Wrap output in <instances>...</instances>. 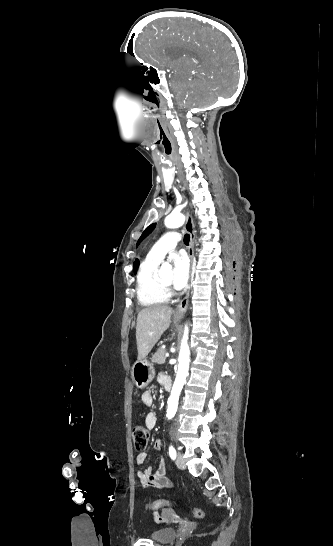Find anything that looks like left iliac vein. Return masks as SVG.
Returning <instances> with one entry per match:
<instances>
[{
	"mask_svg": "<svg viewBox=\"0 0 333 546\" xmlns=\"http://www.w3.org/2000/svg\"><path fill=\"white\" fill-rule=\"evenodd\" d=\"M176 465L181 470H184L186 468L184 458L180 452H178L176 457Z\"/></svg>",
	"mask_w": 333,
	"mask_h": 546,
	"instance_id": "left-iliac-vein-1",
	"label": "left iliac vein"
}]
</instances>
